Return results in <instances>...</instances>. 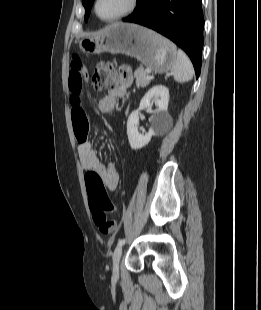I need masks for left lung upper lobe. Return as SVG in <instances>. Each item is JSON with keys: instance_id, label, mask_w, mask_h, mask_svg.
<instances>
[{"instance_id": "5c2ea615", "label": "left lung upper lobe", "mask_w": 261, "mask_h": 310, "mask_svg": "<svg viewBox=\"0 0 261 310\" xmlns=\"http://www.w3.org/2000/svg\"><path fill=\"white\" fill-rule=\"evenodd\" d=\"M93 2H94V0H82V3L85 7V20H87V18L90 15V10H91V7L93 5Z\"/></svg>"}]
</instances>
